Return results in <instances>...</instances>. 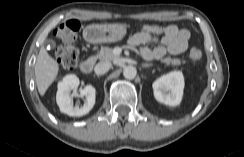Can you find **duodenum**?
Segmentation results:
<instances>
[{
  "label": "duodenum",
  "mask_w": 244,
  "mask_h": 157,
  "mask_svg": "<svg viewBox=\"0 0 244 157\" xmlns=\"http://www.w3.org/2000/svg\"><path fill=\"white\" fill-rule=\"evenodd\" d=\"M94 67V59L88 58L81 62L80 64V70L82 73L88 74L93 70Z\"/></svg>",
  "instance_id": "1"
}]
</instances>
